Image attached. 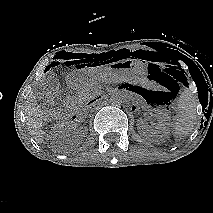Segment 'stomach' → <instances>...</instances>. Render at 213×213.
Listing matches in <instances>:
<instances>
[{"instance_id": "obj_1", "label": "stomach", "mask_w": 213, "mask_h": 213, "mask_svg": "<svg viewBox=\"0 0 213 213\" xmlns=\"http://www.w3.org/2000/svg\"><path fill=\"white\" fill-rule=\"evenodd\" d=\"M146 75L147 69L144 63L128 59L120 63H115L112 66L74 71L70 75V80L76 86H83L87 83L119 78L121 76L137 80Z\"/></svg>"}]
</instances>
